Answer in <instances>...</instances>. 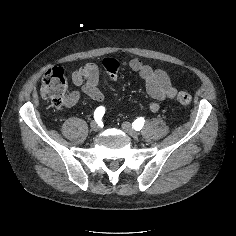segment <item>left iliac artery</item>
<instances>
[{"mask_svg":"<svg viewBox=\"0 0 236 236\" xmlns=\"http://www.w3.org/2000/svg\"><path fill=\"white\" fill-rule=\"evenodd\" d=\"M144 122V118L140 117L133 122L132 126L136 131H140L144 125Z\"/></svg>","mask_w":236,"mask_h":236,"instance_id":"obj_1","label":"left iliac artery"}]
</instances>
